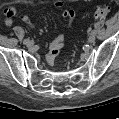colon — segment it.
Masks as SVG:
<instances>
[{
    "label": "colon",
    "mask_w": 119,
    "mask_h": 119,
    "mask_svg": "<svg viewBox=\"0 0 119 119\" xmlns=\"http://www.w3.org/2000/svg\"><path fill=\"white\" fill-rule=\"evenodd\" d=\"M108 14H109V7L102 5V6L97 7L94 13V17L97 20H103L108 16Z\"/></svg>",
    "instance_id": "colon-1"
}]
</instances>
